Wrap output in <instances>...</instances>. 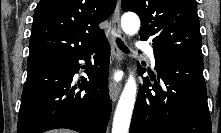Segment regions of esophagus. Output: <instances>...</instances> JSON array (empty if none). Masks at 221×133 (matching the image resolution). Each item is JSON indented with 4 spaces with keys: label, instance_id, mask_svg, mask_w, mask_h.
Here are the masks:
<instances>
[{
    "label": "esophagus",
    "instance_id": "esophagus-1",
    "mask_svg": "<svg viewBox=\"0 0 221 133\" xmlns=\"http://www.w3.org/2000/svg\"><path fill=\"white\" fill-rule=\"evenodd\" d=\"M112 23H113V32L115 37H119L120 39L124 40L125 35L120 26V1L117 2L112 17ZM111 50L115 66H121L123 64L124 54L117 46L115 38L111 40ZM120 91H121V83H116L114 81H111L109 85V94L113 102H115L118 99Z\"/></svg>",
    "mask_w": 221,
    "mask_h": 133
}]
</instances>
